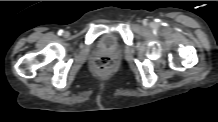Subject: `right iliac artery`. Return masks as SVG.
<instances>
[{
    "instance_id": "82829eb1",
    "label": "right iliac artery",
    "mask_w": 218,
    "mask_h": 122,
    "mask_svg": "<svg viewBox=\"0 0 218 122\" xmlns=\"http://www.w3.org/2000/svg\"><path fill=\"white\" fill-rule=\"evenodd\" d=\"M63 33H64L63 30H59V31H58V35H62Z\"/></svg>"
}]
</instances>
